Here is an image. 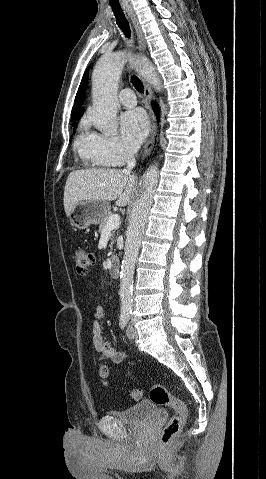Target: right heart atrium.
<instances>
[{"instance_id": "obj_1", "label": "right heart atrium", "mask_w": 266, "mask_h": 479, "mask_svg": "<svg viewBox=\"0 0 266 479\" xmlns=\"http://www.w3.org/2000/svg\"><path fill=\"white\" fill-rule=\"evenodd\" d=\"M97 155L111 166H121L133 157L132 150L115 135L94 134Z\"/></svg>"}]
</instances>
